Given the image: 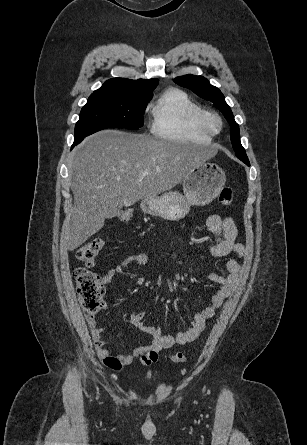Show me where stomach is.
<instances>
[{
    "label": "stomach",
    "instance_id": "obj_1",
    "mask_svg": "<svg viewBox=\"0 0 307 445\" xmlns=\"http://www.w3.org/2000/svg\"><path fill=\"white\" fill-rule=\"evenodd\" d=\"M225 182L223 168L215 162H200L184 178L183 194L178 190H170L161 196H147L143 198L141 208L152 216H161L165 220H180L188 214L190 206H204L212 202Z\"/></svg>",
    "mask_w": 307,
    "mask_h": 445
}]
</instances>
